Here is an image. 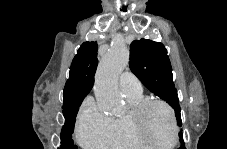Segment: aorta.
Listing matches in <instances>:
<instances>
[{"label": "aorta", "instance_id": "obj_1", "mask_svg": "<svg viewBox=\"0 0 227 149\" xmlns=\"http://www.w3.org/2000/svg\"><path fill=\"white\" fill-rule=\"evenodd\" d=\"M128 62L129 51L125 44L115 43L99 63L94 95L99 109L106 114H116L121 108L118 78Z\"/></svg>", "mask_w": 227, "mask_h": 149}]
</instances>
